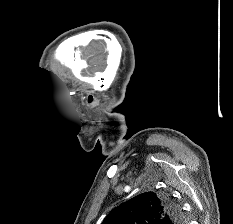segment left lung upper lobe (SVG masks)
<instances>
[{"mask_svg":"<svg viewBox=\"0 0 233 224\" xmlns=\"http://www.w3.org/2000/svg\"><path fill=\"white\" fill-rule=\"evenodd\" d=\"M181 210L166 194L145 192L114 208L102 224H182Z\"/></svg>","mask_w":233,"mask_h":224,"instance_id":"5c2ea615","label":"left lung upper lobe"}]
</instances>
